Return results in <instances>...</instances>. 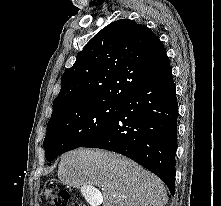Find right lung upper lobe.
I'll return each mask as SVG.
<instances>
[{
	"label": "right lung upper lobe",
	"instance_id": "right-lung-upper-lobe-1",
	"mask_svg": "<svg viewBox=\"0 0 221 206\" xmlns=\"http://www.w3.org/2000/svg\"><path fill=\"white\" fill-rule=\"evenodd\" d=\"M170 66L145 25L122 19L99 31L63 73L53 114L92 103L118 104Z\"/></svg>",
	"mask_w": 221,
	"mask_h": 206
}]
</instances>
